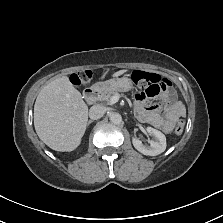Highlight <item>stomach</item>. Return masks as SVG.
Segmentation results:
<instances>
[{"mask_svg":"<svg viewBox=\"0 0 223 223\" xmlns=\"http://www.w3.org/2000/svg\"><path fill=\"white\" fill-rule=\"evenodd\" d=\"M134 80L128 77L110 79L105 82H98L93 85V89L98 93L119 90L121 92L130 90Z\"/></svg>","mask_w":223,"mask_h":223,"instance_id":"obj_1","label":"stomach"}]
</instances>
